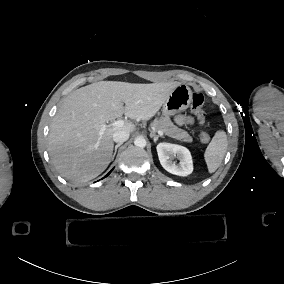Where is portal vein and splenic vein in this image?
<instances>
[{
    "mask_svg": "<svg viewBox=\"0 0 284 284\" xmlns=\"http://www.w3.org/2000/svg\"><path fill=\"white\" fill-rule=\"evenodd\" d=\"M124 125V121L123 120H116L113 123L109 124V125H102L100 131H99V135L102 136L104 131L106 130L107 127H122ZM159 135H163L162 131H158Z\"/></svg>",
    "mask_w": 284,
    "mask_h": 284,
    "instance_id": "obj_1",
    "label": "portal vein and splenic vein"
}]
</instances>
